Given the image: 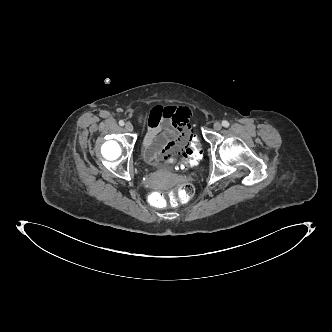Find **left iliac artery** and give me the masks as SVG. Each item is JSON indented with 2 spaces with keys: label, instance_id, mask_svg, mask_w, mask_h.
I'll return each instance as SVG.
<instances>
[{
  "label": "left iliac artery",
  "instance_id": "1",
  "mask_svg": "<svg viewBox=\"0 0 332 332\" xmlns=\"http://www.w3.org/2000/svg\"><path fill=\"white\" fill-rule=\"evenodd\" d=\"M222 125H223L224 127H228V126H229V122L226 121V120H224V121H222Z\"/></svg>",
  "mask_w": 332,
  "mask_h": 332
}]
</instances>
